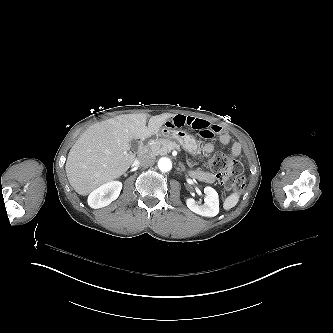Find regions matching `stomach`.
<instances>
[{
	"instance_id": "0dacf381",
	"label": "stomach",
	"mask_w": 333,
	"mask_h": 333,
	"mask_svg": "<svg viewBox=\"0 0 333 333\" xmlns=\"http://www.w3.org/2000/svg\"><path fill=\"white\" fill-rule=\"evenodd\" d=\"M158 136H162L165 138L172 137L174 140L179 141L180 144L184 147V149H186L193 155H197L200 151L199 140L181 130L164 126L161 127L155 134V137Z\"/></svg>"
}]
</instances>
